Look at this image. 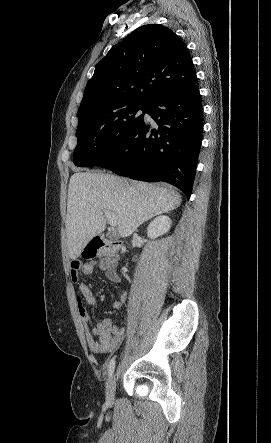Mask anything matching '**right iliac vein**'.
I'll use <instances>...</instances> for the list:
<instances>
[{
  "mask_svg": "<svg viewBox=\"0 0 271 443\" xmlns=\"http://www.w3.org/2000/svg\"><path fill=\"white\" fill-rule=\"evenodd\" d=\"M116 390V377L115 374L111 375L106 382V403L108 406H112L114 403Z\"/></svg>",
  "mask_w": 271,
  "mask_h": 443,
  "instance_id": "1",
  "label": "right iliac vein"
}]
</instances>
